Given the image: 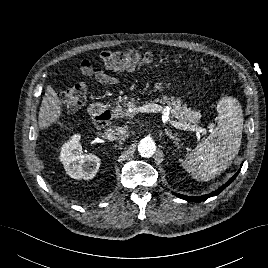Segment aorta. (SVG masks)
Listing matches in <instances>:
<instances>
[{
	"label": "aorta",
	"mask_w": 268,
	"mask_h": 268,
	"mask_svg": "<svg viewBox=\"0 0 268 268\" xmlns=\"http://www.w3.org/2000/svg\"><path fill=\"white\" fill-rule=\"evenodd\" d=\"M138 151L142 157H151L156 151L155 143L150 138H144L139 142Z\"/></svg>",
	"instance_id": "762f6f07"
}]
</instances>
